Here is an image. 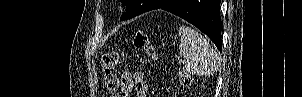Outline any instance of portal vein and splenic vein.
<instances>
[{
	"mask_svg": "<svg viewBox=\"0 0 302 97\" xmlns=\"http://www.w3.org/2000/svg\"><path fill=\"white\" fill-rule=\"evenodd\" d=\"M180 63L185 64L186 61L185 60H180Z\"/></svg>",
	"mask_w": 302,
	"mask_h": 97,
	"instance_id": "obj_1",
	"label": "portal vein and splenic vein"
}]
</instances>
